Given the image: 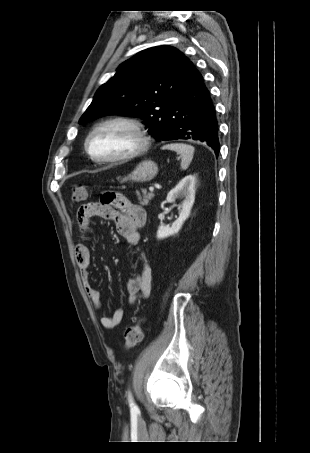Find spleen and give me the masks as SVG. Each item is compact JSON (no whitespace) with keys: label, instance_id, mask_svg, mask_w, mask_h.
<instances>
[{"label":"spleen","instance_id":"obj_1","mask_svg":"<svg viewBox=\"0 0 310 453\" xmlns=\"http://www.w3.org/2000/svg\"><path fill=\"white\" fill-rule=\"evenodd\" d=\"M163 150H172L175 151L177 154H180L182 159L180 163V168L182 170H186L194 155V147L189 145V144H183V143H174V144H167L162 147Z\"/></svg>","mask_w":310,"mask_h":453}]
</instances>
